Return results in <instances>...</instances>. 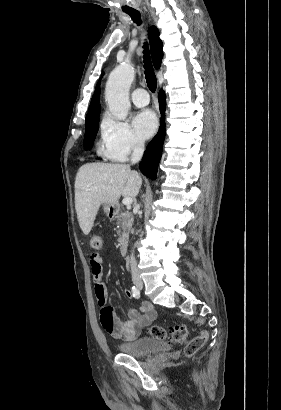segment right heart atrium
Wrapping results in <instances>:
<instances>
[{
    "label": "right heart atrium",
    "instance_id": "obj_1",
    "mask_svg": "<svg viewBox=\"0 0 281 410\" xmlns=\"http://www.w3.org/2000/svg\"><path fill=\"white\" fill-rule=\"evenodd\" d=\"M101 132L105 156L114 161H125L131 154L144 148L143 140L136 135L125 121L104 117Z\"/></svg>",
    "mask_w": 281,
    "mask_h": 410
}]
</instances>
